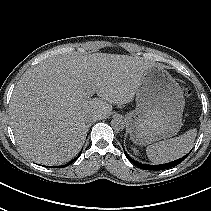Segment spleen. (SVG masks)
<instances>
[{"label": "spleen", "instance_id": "1", "mask_svg": "<svg viewBox=\"0 0 211 211\" xmlns=\"http://www.w3.org/2000/svg\"><path fill=\"white\" fill-rule=\"evenodd\" d=\"M196 135V129L188 130L179 137L160 141L147 146L146 154L149 160L155 164L176 160L192 149Z\"/></svg>", "mask_w": 211, "mask_h": 211}]
</instances>
